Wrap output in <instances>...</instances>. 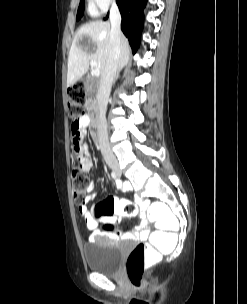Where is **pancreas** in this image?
<instances>
[{"label":"pancreas","mask_w":247,"mask_h":304,"mask_svg":"<svg viewBox=\"0 0 247 304\" xmlns=\"http://www.w3.org/2000/svg\"><path fill=\"white\" fill-rule=\"evenodd\" d=\"M86 104H91L94 106V101L92 100V98H88V99H86ZM87 110H89V109H87Z\"/></svg>","instance_id":"pancreas-1"}]
</instances>
